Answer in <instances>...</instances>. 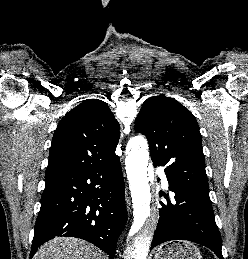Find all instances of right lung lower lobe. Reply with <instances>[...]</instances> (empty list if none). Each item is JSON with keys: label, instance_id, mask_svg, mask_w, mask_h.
Returning a JSON list of instances; mask_svg holds the SVG:
<instances>
[{"label": "right lung lower lobe", "instance_id": "98d812e1", "mask_svg": "<svg viewBox=\"0 0 248 259\" xmlns=\"http://www.w3.org/2000/svg\"><path fill=\"white\" fill-rule=\"evenodd\" d=\"M124 193L117 155L101 166L45 179L30 259L55 236L84 239L113 259L127 219Z\"/></svg>", "mask_w": 248, "mask_h": 259}]
</instances>
